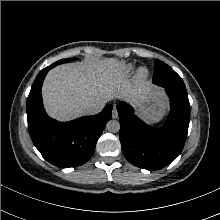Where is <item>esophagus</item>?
Masks as SVG:
<instances>
[{
  "mask_svg": "<svg viewBox=\"0 0 220 220\" xmlns=\"http://www.w3.org/2000/svg\"><path fill=\"white\" fill-rule=\"evenodd\" d=\"M112 118H113V119L118 118V111H117L116 106H114V108H113V110H112Z\"/></svg>",
  "mask_w": 220,
  "mask_h": 220,
  "instance_id": "obj_1",
  "label": "esophagus"
}]
</instances>
